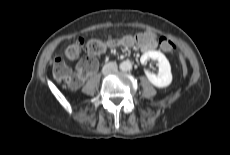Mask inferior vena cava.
<instances>
[{"instance_id": "1", "label": "inferior vena cava", "mask_w": 230, "mask_h": 155, "mask_svg": "<svg viewBox=\"0 0 230 155\" xmlns=\"http://www.w3.org/2000/svg\"><path fill=\"white\" fill-rule=\"evenodd\" d=\"M117 63L116 62H109L106 65H104L102 72L104 75L111 74L113 72L117 71Z\"/></svg>"}]
</instances>
